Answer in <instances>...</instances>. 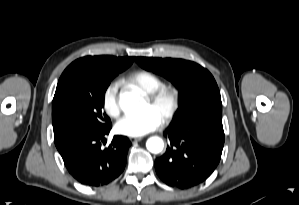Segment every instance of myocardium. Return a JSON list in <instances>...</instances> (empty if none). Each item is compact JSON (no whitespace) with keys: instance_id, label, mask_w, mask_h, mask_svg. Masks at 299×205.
<instances>
[{"instance_id":"f54148a6","label":"myocardium","mask_w":299,"mask_h":205,"mask_svg":"<svg viewBox=\"0 0 299 205\" xmlns=\"http://www.w3.org/2000/svg\"><path fill=\"white\" fill-rule=\"evenodd\" d=\"M146 100L152 106L165 105L161 119L163 123H168L179 110L181 94L180 90L175 86L162 85L153 92L146 94Z\"/></svg>"}]
</instances>
